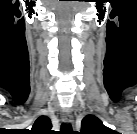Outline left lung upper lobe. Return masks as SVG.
Returning a JSON list of instances; mask_svg holds the SVG:
<instances>
[{
	"mask_svg": "<svg viewBox=\"0 0 137 134\" xmlns=\"http://www.w3.org/2000/svg\"><path fill=\"white\" fill-rule=\"evenodd\" d=\"M80 134H117V132L103 125L98 117L86 115L81 122Z\"/></svg>",
	"mask_w": 137,
	"mask_h": 134,
	"instance_id": "5c2ea615",
	"label": "left lung upper lobe"
}]
</instances>
